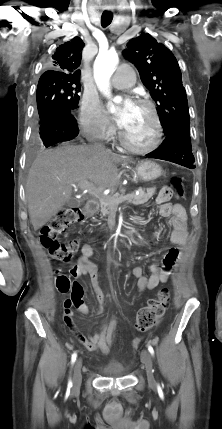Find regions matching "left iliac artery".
<instances>
[{"label": "left iliac artery", "instance_id": "left-iliac-artery-1", "mask_svg": "<svg viewBox=\"0 0 222 429\" xmlns=\"http://www.w3.org/2000/svg\"><path fill=\"white\" fill-rule=\"evenodd\" d=\"M148 351L150 352L151 355H154V349L151 345H148Z\"/></svg>", "mask_w": 222, "mask_h": 429}]
</instances>
